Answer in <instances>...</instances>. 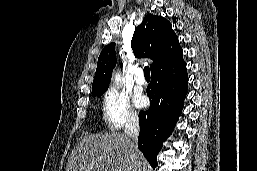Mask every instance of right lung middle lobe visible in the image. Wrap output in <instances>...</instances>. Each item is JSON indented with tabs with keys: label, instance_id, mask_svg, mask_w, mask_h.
<instances>
[{
	"label": "right lung middle lobe",
	"instance_id": "1",
	"mask_svg": "<svg viewBox=\"0 0 257 171\" xmlns=\"http://www.w3.org/2000/svg\"><path fill=\"white\" fill-rule=\"evenodd\" d=\"M106 90L100 91V92H96V93H92V96H98L100 97Z\"/></svg>",
	"mask_w": 257,
	"mask_h": 171
}]
</instances>
